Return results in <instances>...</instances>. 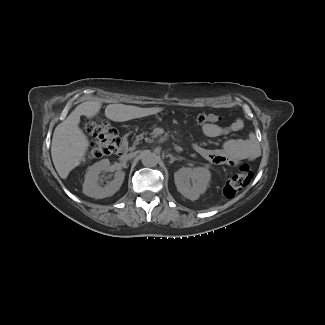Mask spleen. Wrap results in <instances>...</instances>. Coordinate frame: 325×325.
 Here are the masks:
<instances>
[{
    "instance_id": "3e777b00",
    "label": "spleen",
    "mask_w": 325,
    "mask_h": 325,
    "mask_svg": "<svg viewBox=\"0 0 325 325\" xmlns=\"http://www.w3.org/2000/svg\"><path fill=\"white\" fill-rule=\"evenodd\" d=\"M218 208H219L218 206L212 207L211 210L218 209Z\"/></svg>"
}]
</instances>
